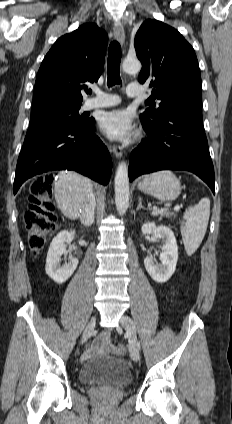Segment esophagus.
<instances>
[{
    "instance_id": "obj_1",
    "label": "esophagus",
    "mask_w": 232,
    "mask_h": 424,
    "mask_svg": "<svg viewBox=\"0 0 232 424\" xmlns=\"http://www.w3.org/2000/svg\"><path fill=\"white\" fill-rule=\"evenodd\" d=\"M114 35L117 41L123 45L125 42V32H124L123 25L120 22H116L114 24ZM112 152L114 153L116 158H121L122 148L119 145H114L112 147Z\"/></svg>"
}]
</instances>
